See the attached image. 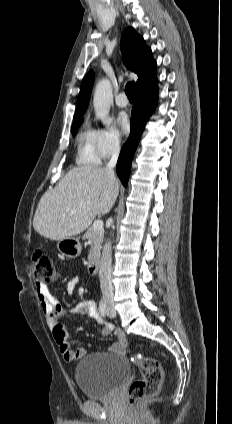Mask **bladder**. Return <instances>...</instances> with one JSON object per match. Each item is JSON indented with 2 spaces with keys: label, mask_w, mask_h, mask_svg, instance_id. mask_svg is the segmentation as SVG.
I'll return each mask as SVG.
<instances>
[{
  "label": "bladder",
  "mask_w": 232,
  "mask_h": 424,
  "mask_svg": "<svg viewBox=\"0 0 232 424\" xmlns=\"http://www.w3.org/2000/svg\"><path fill=\"white\" fill-rule=\"evenodd\" d=\"M130 375L131 366L125 357L101 353L84 357L75 371L78 388L89 399L109 398Z\"/></svg>",
  "instance_id": "bladder-1"
}]
</instances>
